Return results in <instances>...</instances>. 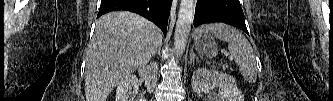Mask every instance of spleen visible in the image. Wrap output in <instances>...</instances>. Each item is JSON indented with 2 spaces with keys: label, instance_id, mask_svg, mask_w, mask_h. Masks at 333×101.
Listing matches in <instances>:
<instances>
[{
  "label": "spleen",
  "instance_id": "spleen-1",
  "mask_svg": "<svg viewBox=\"0 0 333 101\" xmlns=\"http://www.w3.org/2000/svg\"><path fill=\"white\" fill-rule=\"evenodd\" d=\"M202 34L214 35L220 40L228 42L231 57L239 66L240 73L249 83H255L257 68L253 49L246 37L237 29L222 23L204 25L196 29L194 38Z\"/></svg>",
  "mask_w": 333,
  "mask_h": 101
}]
</instances>
